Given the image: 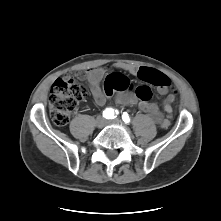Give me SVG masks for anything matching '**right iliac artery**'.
<instances>
[{
	"mask_svg": "<svg viewBox=\"0 0 221 221\" xmlns=\"http://www.w3.org/2000/svg\"><path fill=\"white\" fill-rule=\"evenodd\" d=\"M116 114H118V112H115L112 108H108L103 111V117H105L106 119H114L116 117Z\"/></svg>",
	"mask_w": 221,
	"mask_h": 221,
	"instance_id": "1",
	"label": "right iliac artery"
}]
</instances>
